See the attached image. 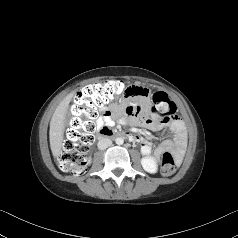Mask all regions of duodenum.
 I'll use <instances>...</instances> for the list:
<instances>
[{"instance_id":"410a0bca","label":"duodenum","mask_w":238,"mask_h":238,"mask_svg":"<svg viewBox=\"0 0 238 238\" xmlns=\"http://www.w3.org/2000/svg\"><path fill=\"white\" fill-rule=\"evenodd\" d=\"M100 136L101 137H107V136H117V137H125L129 139L130 141L137 142L138 137L132 133H127V132H113L112 130L108 128H103L100 130Z\"/></svg>"}]
</instances>
